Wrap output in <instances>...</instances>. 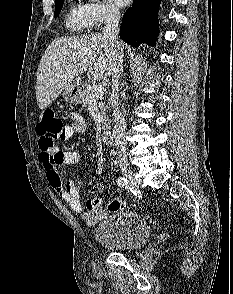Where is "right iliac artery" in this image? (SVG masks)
<instances>
[{"label": "right iliac artery", "mask_w": 233, "mask_h": 294, "mask_svg": "<svg viewBox=\"0 0 233 294\" xmlns=\"http://www.w3.org/2000/svg\"><path fill=\"white\" fill-rule=\"evenodd\" d=\"M117 183H118V185H119L120 187H122V188H127L128 182H127L126 178H124V177H119V178L117 179Z\"/></svg>", "instance_id": "82829eb1"}]
</instances>
